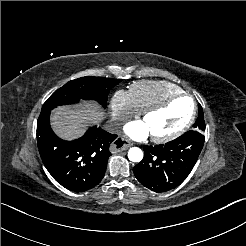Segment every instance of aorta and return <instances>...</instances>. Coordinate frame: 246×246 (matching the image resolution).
Wrapping results in <instances>:
<instances>
[{
	"mask_svg": "<svg viewBox=\"0 0 246 246\" xmlns=\"http://www.w3.org/2000/svg\"><path fill=\"white\" fill-rule=\"evenodd\" d=\"M128 158L132 162H140L143 159V152L138 147H132L128 151Z\"/></svg>",
	"mask_w": 246,
	"mask_h": 246,
	"instance_id": "obj_1",
	"label": "aorta"
}]
</instances>
